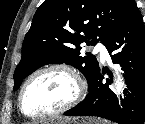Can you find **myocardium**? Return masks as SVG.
Returning <instances> with one entry per match:
<instances>
[{"label": "myocardium", "instance_id": "myocardium-1", "mask_svg": "<svg viewBox=\"0 0 145 124\" xmlns=\"http://www.w3.org/2000/svg\"><path fill=\"white\" fill-rule=\"evenodd\" d=\"M49 71H62L68 74L76 83V92L74 96L67 103H65L64 105L60 106L57 109L47 111L44 113H36V114L27 113L23 107V96H24L25 90L36 77ZM85 95H86L85 82L73 68L65 64H50V65H46L44 67L37 69L25 80V82L23 83L19 91L18 105H19V109L21 113L25 117L30 118V119H43V118L57 116V115L67 112L68 110L76 106L85 97Z\"/></svg>", "mask_w": 145, "mask_h": 124}]
</instances>
